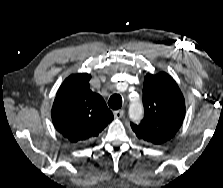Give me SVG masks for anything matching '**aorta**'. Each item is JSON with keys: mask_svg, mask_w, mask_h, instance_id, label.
I'll list each match as a JSON object with an SVG mask.
<instances>
[{"mask_svg": "<svg viewBox=\"0 0 223 188\" xmlns=\"http://www.w3.org/2000/svg\"><path fill=\"white\" fill-rule=\"evenodd\" d=\"M143 115V105L139 98L131 101L129 105V117L134 121H138L141 119Z\"/></svg>", "mask_w": 223, "mask_h": 188, "instance_id": "762f6f07", "label": "aorta"}]
</instances>
